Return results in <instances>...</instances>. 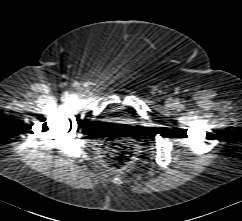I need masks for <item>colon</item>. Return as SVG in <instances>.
I'll return each instance as SVG.
<instances>
[{"label": "colon", "mask_w": 242, "mask_h": 221, "mask_svg": "<svg viewBox=\"0 0 242 221\" xmlns=\"http://www.w3.org/2000/svg\"><path fill=\"white\" fill-rule=\"evenodd\" d=\"M103 157L106 164L113 169L127 166L134 157V146L130 141L112 140L102 146Z\"/></svg>", "instance_id": "1"}]
</instances>
